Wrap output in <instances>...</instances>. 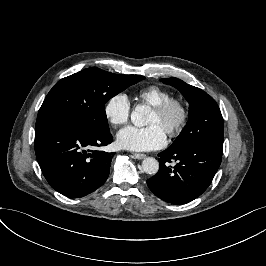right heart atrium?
I'll return each mask as SVG.
<instances>
[{
  "label": "right heart atrium",
  "instance_id": "obj_1",
  "mask_svg": "<svg viewBox=\"0 0 266 266\" xmlns=\"http://www.w3.org/2000/svg\"><path fill=\"white\" fill-rule=\"evenodd\" d=\"M103 111L110 124L120 126L129 121L132 105L127 94L117 92L106 100Z\"/></svg>",
  "mask_w": 266,
  "mask_h": 266
}]
</instances>
